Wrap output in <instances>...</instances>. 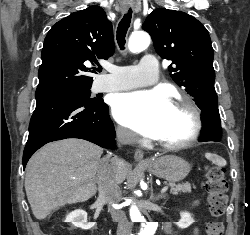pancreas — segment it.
<instances>
[{
  "instance_id": "obj_1",
  "label": "pancreas",
  "mask_w": 250,
  "mask_h": 235,
  "mask_svg": "<svg viewBox=\"0 0 250 235\" xmlns=\"http://www.w3.org/2000/svg\"><path fill=\"white\" fill-rule=\"evenodd\" d=\"M171 187V193L173 195H178L181 192H185V193H190L192 191V185L189 183H184V184H170ZM193 188H195V186H193Z\"/></svg>"
}]
</instances>
